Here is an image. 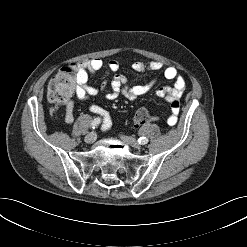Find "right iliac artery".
I'll use <instances>...</instances> for the list:
<instances>
[{"label": "right iliac artery", "mask_w": 247, "mask_h": 247, "mask_svg": "<svg viewBox=\"0 0 247 247\" xmlns=\"http://www.w3.org/2000/svg\"><path fill=\"white\" fill-rule=\"evenodd\" d=\"M101 123V119L98 117V118H95L91 125H90V128L91 129H95L99 124Z\"/></svg>", "instance_id": "obj_1"}]
</instances>
